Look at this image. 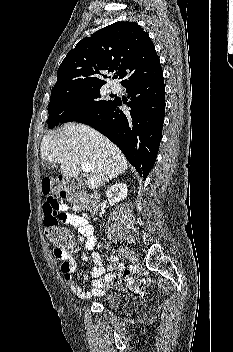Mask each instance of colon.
Returning <instances> with one entry per match:
<instances>
[{"mask_svg": "<svg viewBox=\"0 0 233 352\" xmlns=\"http://www.w3.org/2000/svg\"><path fill=\"white\" fill-rule=\"evenodd\" d=\"M63 195L66 196L67 194L63 192ZM70 198L79 203L78 206L74 207L75 211H90L93 209L90 199L86 196L70 195ZM45 235L49 242L57 249L68 251L72 248V240L69 231L59 226L57 223H46ZM121 281L125 284L127 290L134 293H142L143 284L132 277L129 271L124 270L121 273Z\"/></svg>", "mask_w": 233, "mask_h": 352, "instance_id": "colon-1", "label": "colon"}]
</instances>
